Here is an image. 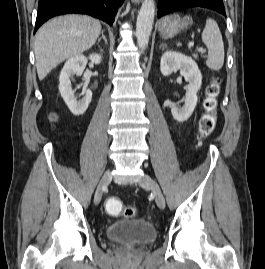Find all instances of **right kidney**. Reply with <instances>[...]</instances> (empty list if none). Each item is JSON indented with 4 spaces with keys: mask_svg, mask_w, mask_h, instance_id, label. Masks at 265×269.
I'll return each mask as SVG.
<instances>
[{
    "mask_svg": "<svg viewBox=\"0 0 265 269\" xmlns=\"http://www.w3.org/2000/svg\"><path fill=\"white\" fill-rule=\"evenodd\" d=\"M89 60L94 64H100L102 57L100 54L93 53L90 54ZM87 62L88 58L81 54L71 57L65 63L59 77L60 94L71 113L75 116L82 115L87 110L92 99V92L88 89L85 91L84 97L78 101L71 86V77L73 75L80 76Z\"/></svg>",
    "mask_w": 265,
    "mask_h": 269,
    "instance_id": "ca27d5eb",
    "label": "right kidney"
}]
</instances>
